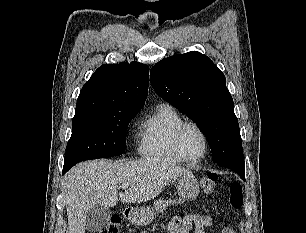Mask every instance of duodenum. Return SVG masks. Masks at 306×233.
Returning a JSON list of instances; mask_svg holds the SVG:
<instances>
[{
  "instance_id": "obj_1",
  "label": "duodenum",
  "mask_w": 306,
  "mask_h": 233,
  "mask_svg": "<svg viewBox=\"0 0 306 233\" xmlns=\"http://www.w3.org/2000/svg\"><path fill=\"white\" fill-rule=\"evenodd\" d=\"M126 213H127V214H131V210H127Z\"/></svg>"
}]
</instances>
